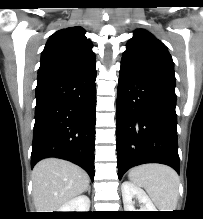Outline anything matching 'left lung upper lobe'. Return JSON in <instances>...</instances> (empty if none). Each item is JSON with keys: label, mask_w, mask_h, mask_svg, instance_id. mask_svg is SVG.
Listing matches in <instances>:
<instances>
[{"label": "left lung upper lobe", "mask_w": 203, "mask_h": 219, "mask_svg": "<svg viewBox=\"0 0 203 219\" xmlns=\"http://www.w3.org/2000/svg\"><path fill=\"white\" fill-rule=\"evenodd\" d=\"M126 47L122 60L175 78L174 63L166 46L148 31L143 29L136 30Z\"/></svg>", "instance_id": "5c2ea615"}]
</instances>
